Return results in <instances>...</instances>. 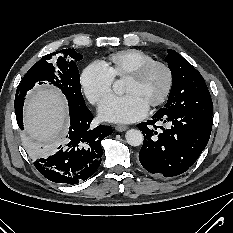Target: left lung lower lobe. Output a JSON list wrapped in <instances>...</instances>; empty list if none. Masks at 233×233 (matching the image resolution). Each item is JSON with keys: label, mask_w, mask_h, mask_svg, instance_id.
Listing matches in <instances>:
<instances>
[{"label": "left lung lower lobe", "mask_w": 233, "mask_h": 233, "mask_svg": "<svg viewBox=\"0 0 233 233\" xmlns=\"http://www.w3.org/2000/svg\"><path fill=\"white\" fill-rule=\"evenodd\" d=\"M157 122L167 123L168 127H158L155 125ZM212 124V116L161 108L151 120L137 125L144 136L139 152L140 163L150 173L160 176L172 177L184 173L206 147Z\"/></svg>", "instance_id": "obj_1"}]
</instances>
